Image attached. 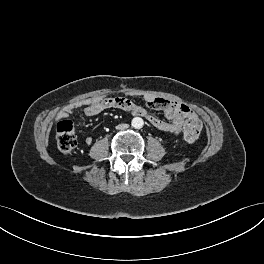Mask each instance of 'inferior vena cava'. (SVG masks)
Segmentation results:
<instances>
[{"label":"inferior vena cava","instance_id":"1","mask_svg":"<svg viewBox=\"0 0 264 264\" xmlns=\"http://www.w3.org/2000/svg\"><path fill=\"white\" fill-rule=\"evenodd\" d=\"M129 127V125L128 124H119L118 126H116V129H118V130H125V129H127Z\"/></svg>","mask_w":264,"mask_h":264}]
</instances>
